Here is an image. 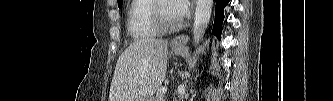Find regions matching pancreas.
<instances>
[{"mask_svg": "<svg viewBox=\"0 0 333 101\" xmlns=\"http://www.w3.org/2000/svg\"><path fill=\"white\" fill-rule=\"evenodd\" d=\"M162 89L163 88H159L158 90H157V92H156V96H155V98H154V101H164V96H163V94H162Z\"/></svg>", "mask_w": 333, "mask_h": 101, "instance_id": "obj_1", "label": "pancreas"}]
</instances>
